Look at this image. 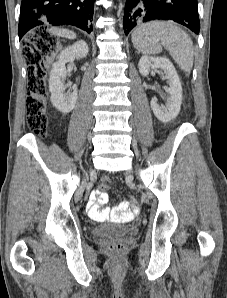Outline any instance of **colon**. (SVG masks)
Segmentation results:
<instances>
[{
  "mask_svg": "<svg viewBox=\"0 0 227 298\" xmlns=\"http://www.w3.org/2000/svg\"><path fill=\"white\" fill-rule=\"evenodd\" d=\"M42 35L40 40L28 37V41L23 46V56L28 63V97L26 101L28 127L40 136L46 135L47 127V105L46 99L48 90L46 87V71L42 60L49 53V48L53 41L41 30H37ZM99 191L111 190V185L104 180L98 187ZM133 207H140L137 196H130ZM129 205V203L127 202ZM126 246L122 243H114L109 246V250L114 254H121Z\"/></svg>",
  "mask_w": 227,
  "mask_h": 298,
  "instance_id": "obj_1",
  "label": "colon"
}]
</instances>
